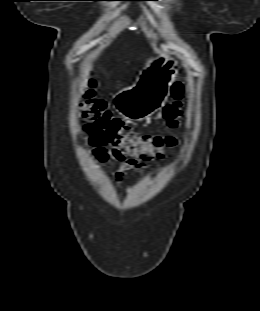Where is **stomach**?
<instances>
[{
	"label": "stomach",
	"instance_id": "stomach-1",
	"mask_svg": "<svg viewBox=\"0 0 260 311\" xmlns=\"http://www.w3.org/2000/svg\"><path fill=\"white\" fill-rule=\"evenodd\" d=\"M179 68L175 58L161 53L144 68L133 86L113 96L114 108L128 120L148 118L167 101Z\"/></svg>",
	"mask_w": 260,
	"mask_h": 311
}]
</instances>
